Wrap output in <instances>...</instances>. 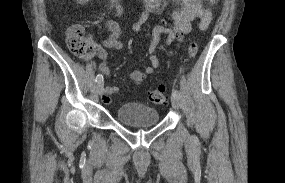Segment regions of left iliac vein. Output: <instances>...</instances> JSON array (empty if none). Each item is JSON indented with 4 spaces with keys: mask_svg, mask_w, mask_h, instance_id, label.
Instances as JSON below:
<instances>
[{
    "mask_svg": "<svg viewBox=\"0 0 285 183\" xmlns=\"http://www.w3.org/2000/svg\"><path fill=\"white\" fill-rule=\"evenodd\" d=\"M172 106L177 109L179 107V98L176 96H172L171 98Z\"/></svg>",
    "mask_w": 285,
    "mask_h": 183,
    "instance_id": "obj_1",
    "label": "left iliac vein"
}]
</instances>
